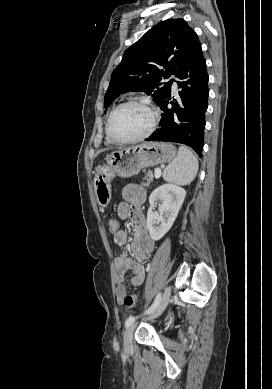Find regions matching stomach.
Wrapping results in <instances>:
<instances>
[{
  "mask_svg": "<svg viewBox=\"0 0 272 389\" xmlns=\"http://www.w3.org/2000/svg\"><path fill=\"white\" fill-rule=\"evenodd\" d=\"M176 149L170 143L146 142L112 152L106 164L97 168L94 192L100 207L106 208L111 201V181L116 177L129 178L146 167L172 161Z\"/></svg>",
  "mask_w": 272,
  "mask_h": 389,
  "instance_id": "stomach-1",
  "label": "stomach"
}]
</instances>
